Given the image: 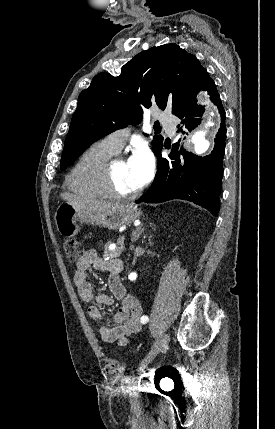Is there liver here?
<instances>
[{"label":"liver","instance_id":"6515ba94","mask_svg":"<svg viewBox=\"0 0 275 429\" xmlns=\"http://www.w3.org/2000/svg\"><path fill=\"white\" fill-rule=\"evenodd\" d=\"M60 197L63 200H66L68 204L75 206L78 210L87 212H100L118 205L117 203L82 199L69 192L61 193Z\"/></svg>","mask_w":275,"mask_h":429}]
</instances>
